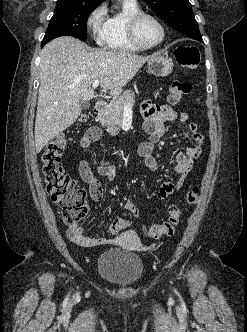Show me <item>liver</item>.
Returning a JSON list of instances; mask_svg holds the SVG:
<instances>
[{
	"instance_id": "obj_1",
	"label": "liver",
	"mask_w": 247,
	"mask_h": 332,
	"mask_svg": "<svg viewBox=\"0 0 247 332\" xmlns=\"http://www.w3.org/2000/svg\"><path fill=\"white\" fill-rule=\"evenodd\" d=\"M152 57L125 51L90 50L70 36L49 42L40 55L36 152L77 120L81 103L94 97L93 81L99 80L102 90L119 96Z\"/></svg>"
}]
</instances>
